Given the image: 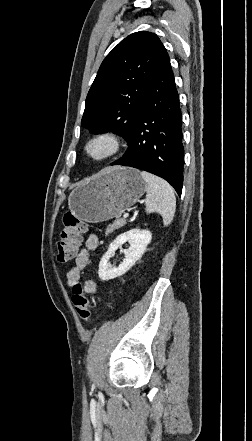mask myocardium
Masks as SVG:
<instances>
[{"mask_svg": "<svg viewBox=\"0 0 252 441\" xmlns=\"http://www.w3.org/2000/svg\"><path fill=\"white\" fill-rule=\"evenodd\" d=\"M104 142L107 144V150L100 156H94L91 147L95 143ZM122 138L118 133L112 130L101 131L92 136L85 144L84 151L86 156L94 162H104L115 157L122 149Z\"/></svg>", "mask_w": 252, "mask_h": 441, "instance_id": "obj_1", "label": "myocardium"}]
</instances>
